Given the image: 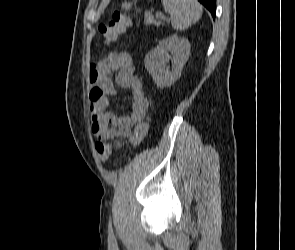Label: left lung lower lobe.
<instances>
[{"label":"left lung lower lobe","instance_id":"left-lung-lower-lobe-1","mask_svg":"<svg viewBox=\"0 0 295 250\" xmlns=\"http://www.w3.org/2000/svg\"><path fill=\"white\" fill-rule=\"evenodd\" d=\"M202 3L212 14L213 18H215L216 14V0H198Z\"/></svg>","mask_w":295,"mask_h":250}]
</instances>
